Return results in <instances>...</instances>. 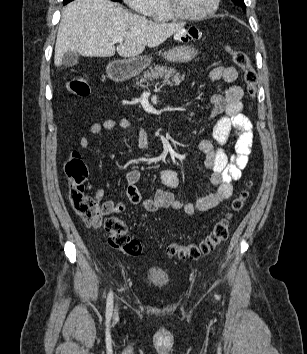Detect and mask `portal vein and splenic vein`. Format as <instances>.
I'll use <instances>...</instances> for the list:
<instances>
[{
	"label": "portal vein and splenic vein",
	"mask_w": 307,
	"mask_h": 354,
	"mask_svg": "<svg viewBox=\"0 0 307 354\" xmlns=\"http://www.w3.org/2000/svg\"><path fill=\"white\" fill-rule=\"evenodd\" d=\"M111 41L113 43H122L124 41V38L123 37H120V36H115V37H112L111 38Z\"/></svg>",
	"instance_id": "18ae733b"
}]
</instances>
